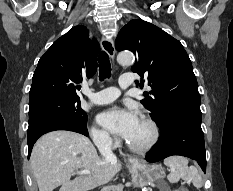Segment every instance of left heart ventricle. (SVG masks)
<instances>
[{
    "mask_svg": "<svg viewBox=\"0 0 233 191\" xmlns=\"http://www.w3.org/2000/svg\"><path fill=\"white\" fill-rule=\"evenodd\" d=\"M151 137L152 129L150 125L144 120H139L134 131L127 140L132 144L142 146L147 144L150 141Z\"/></svg>",
    "mask_w": 233,
    "mask_h": 191,
    "instance_id": "b2bd125f",
    "label": "left heart ventricle"
}]
</instances>
